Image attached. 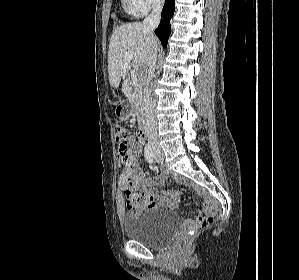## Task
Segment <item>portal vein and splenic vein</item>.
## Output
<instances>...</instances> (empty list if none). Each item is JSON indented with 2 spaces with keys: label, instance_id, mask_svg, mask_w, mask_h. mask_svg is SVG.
<instances>
[{
  "label": "portal vein and splenic vein",
  "instance_id": "18ae733b",
  "mask_svg": "<svg viewBox=\"0 0 299 280\" xmlns=\"http://www.w3.org/2000/svg\"><path fill=\"white\" fill-rule=\"evenodd\" d=\"M134 57V53L132 51L126 52L125 53V61L130 62ZM132 82L133 85H138V79H137V74L133 72L131 74Z\"/></svg>",
  "mask_w": 299,
  "mask_h": 280
}]
</instances>
